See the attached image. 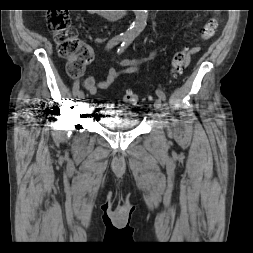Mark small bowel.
Returning a JSON list of instances; mask_svg holds the SVG:
<instances>
[{
	"mask_svg": "<svg viewBox=\"0 0 253 253\" xmlns=\"http://www.w3.org/2000/svg\"><path fill=\"white\" fill-rule=\"evenodd\" d=\"M160 46L155 48L148 56L138 59H123L118 63L123 67L121 70H116L113 67L107 68V76L105 80H98L94 75L87 76L82 81V86L92 96L97 95L100 90L110 88L122 74H130L138 71L141 64L153 60L160 51ZM199 50V49H198Z\"/></svg>",
	"mask_w": 253,
	"mask_h": 253,
	"instance_id": "small-bowel-1",
	"label": "small bowel"
}]
</instances>
